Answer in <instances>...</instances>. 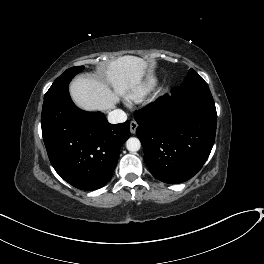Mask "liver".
Returning <instances> with one entry per match:
<instances>
[{"label":"liver","instance_id":"obj_1","mask_svg":"<svg viewBox=\"0 0 264 264\" xmlns=\"http://www.w3.org/2000/svg\"><path fill=\"white\" fill-rule=\"evenodd\" d=\"M147 66V62L139 57H120L104 68V79L92 76L75 78L69 86L71 97L86 111L111 110L126 94L140 89Z\"/></svg>","mask_w":264,"mask_h":264}]
</instances>
